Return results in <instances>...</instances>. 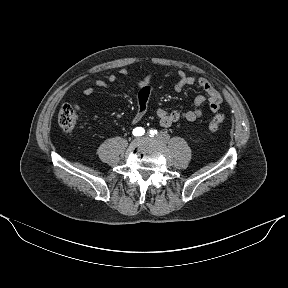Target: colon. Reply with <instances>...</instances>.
<instances>
[{
  "mask_svg": "<svg viewBox=\"0 0 288 288\" xmlns=\"http://www.w3.org/2000/svg\"><path fill=\"white\" fill-rule=\"evenodd\" d=\"M79 108L73 104H64L58 113V124L64 132H72L78 123ZM225 121L223 113H217L209 123V130L216 131Z\"/></svg>",
  "mask_w": 288,
  "mask_h": 288,
  "instance_id": "5ec220e1",
  "label": "colon"
}]
</instances>
